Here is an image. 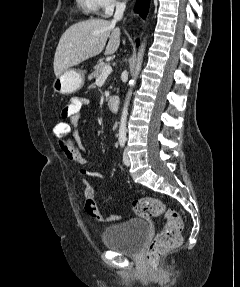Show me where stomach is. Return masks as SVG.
<instances>
[{"mask_svg": "<svg viewBox=\"0 0 240 287\" xmlns=\"http://www.w3.org/2000/svg\"><path fill=\"white\" fill-rule=\"evenodd\" d=\"M85 81V71L82 69H67L52 83L56 94H71L79 90Z\"/></svg>", "mask_w": 240, "mask_h": 287, "instance_id": "0dacf381", "label": "stomach"}]
</instances>
